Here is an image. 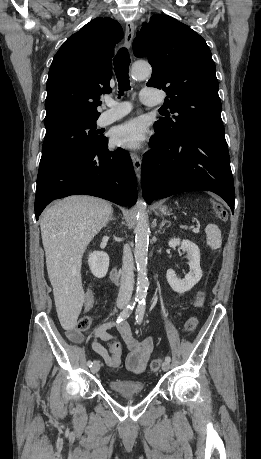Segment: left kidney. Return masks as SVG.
<instances>
[{"label":"left kidney","mask_w":261,"mask_h":459,"mask_svg":"<svg viewBox=\"0 0 261 459\" xmlns=\"http://www.w3.org/2000/svg\"><path fill=\"white\" fill-rule=\"evenodd\" d=\"M168 245L172 248L180 246L187 253L189 259V272L183 279H178L176 273L172 269H168L166 273L167 281L170 287L177 293H185L191 290L196 285L201 277L202 270L200 268V250L196 244L189 240H180L178 238L171 239Z\"/></svg>","instance_id":"left-kidney-1"}]
</instances>
